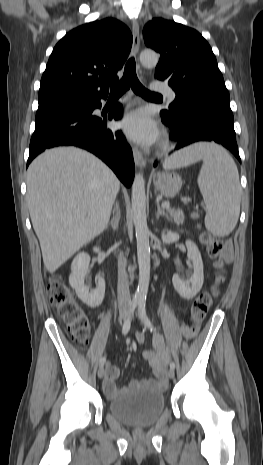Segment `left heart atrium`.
I'll return each instance as SVG.
<instances>
[{
    "label": "left heart atrium",
    "mask_w": 263,
    "mask_h": 465,
    "mask_svg": "<svg viewBox=\"0 0 263 465\" xmlns=\"http://www.w3.org/2000/svg\"><path fill=\"white\" fill-rule=\"evenodd\" d=\"M118 127L127 137L143 145L154 143L159 135L156 123L142 109L126 114Z\"/></svg>",
    "instance_id": "1"
}]
</instances>
